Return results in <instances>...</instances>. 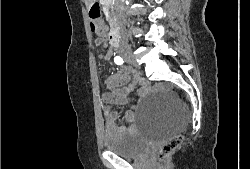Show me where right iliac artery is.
<instances>
[{
	"label": "right iliac artery",
	"mask_w": 250,
	"mask_h": 169,
	"mask_svg": "<svg viewBox=\"0 0 250 169\" xmlns=\"http://www.w3.org/2000/svg\"><path fill=\"white\" fill-rule=\"evenodd\" d=\"M114 62L117 64V65H121L123 64V59L120 57V56H116L114 58Z\"/></svg>",
	"instance_id": "right-iliac-artery-1"
}]
</instances>
